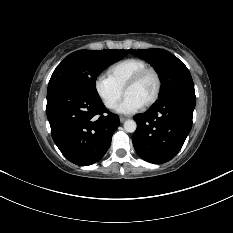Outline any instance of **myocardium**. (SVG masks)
<instances>
[{"mask_svg": "<svg viewBox=\"0 0 233 233\" xmlns=\"http://www.w3.org/2000/svg\"><path fill=\"white\" fill-rule=\"evenodd\" d=\"M149 74H152L156 80V89L152 97L143 105L144 108H147L153 105L158 100L160 93H161L162 79H161L159 72L155 68L148 66L140 70L139 72H137L134 76H132L129 79V81L126 83L123 89L124 94H125L128 89L137 85L144 77H146Z\"/></svg>", "mask_w": 233, "mask_h": 233, "instance_id": "f54148a6", "label": "myocardium"}]
</instances>
